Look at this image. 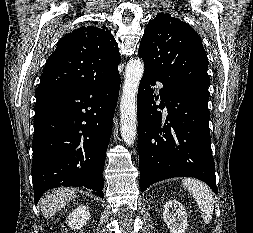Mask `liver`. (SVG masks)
I'll return each mask as SVG.
<instances>
[{
  "instance_id": "liver-1",
  "label": "liver",
  "mask_w": 253,
  "mask_h": 233,
  "mask_svg": "<svg viewBox=\"0 0 253 233\" xmlns=\"http://www.w3.org/2000/svg\"><path fill=\"white\" fill-rule=\"evenodd\" d=\"M77 192L73 188H59L52 192H48L41 200V212L44 217L48 218L53 216L70 200L75 198Z\"/></svg>"
}]
</instances>
